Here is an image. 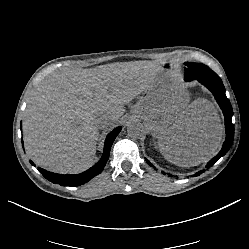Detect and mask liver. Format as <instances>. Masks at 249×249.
I'll use <instances>...</instances> for the list:
<instances>
[{
  "label": "liver",
  "instance_id": "1",
  "mask_svg": "<svg viewBox=\"0 0 249 249\" xmlns=\"http://www.w3.org/2000/svg\"><path fill=\"white\" fill-rule=\"evenodd\" d=\"M161 67L109 64L74 68L53 74L30 93L23 117V140L32 161L55 173H76L90 167L99 128L95 120L107 114L112 123L125 104L145 97L131 113L143 120L158 145L170 148L165 158L182 167L196 166L216 154L224 127L206 99L172 100L171 86Z\"/></svg>",
  "mask_w": 249,
  "mask_h": 249
}]
</instances>
